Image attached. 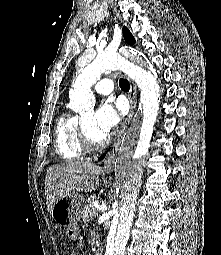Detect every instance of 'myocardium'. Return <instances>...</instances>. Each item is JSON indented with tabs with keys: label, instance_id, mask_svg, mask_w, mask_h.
Masks as SVG:
<instances>
[{
	"label": "myocardium",
	"instance_id": "myocardium-1",
	"mask_svg": "<svg viewBox=\"0 0 221 255\" xmlns=\"http://www.w3.org/2000/svg\"><path fill=\"white\" fill-rule=\"evenodd\" d=\"M79 133H80V139L81 143L84 147V149L88 152H94V151H99L104 149L109 141L110 138L106 136L102 141L100 142H95L88 134L86 131L83 122H80L79 124Z\"/></svg>",
	"mask_w": 221,
	"mask_h": 255
}]
</instances>
